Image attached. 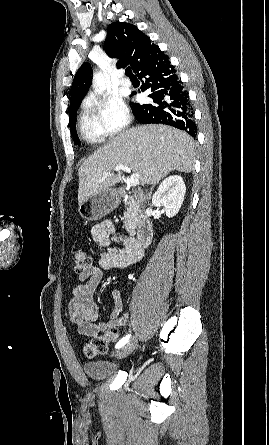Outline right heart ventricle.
Segmentation results:
<instances>
[{
  "label": "right heart ventricle",
  "mask_w": 269,
  "mask_h": 445,
  "mask_svg": "<svg viewBox=\"0 0 269 445\" xmlns=\"http://www.w3.org/2000/svg\"><path fill=\"white\" fill-rule=\"evenodd\" d=\"M79 131L83 140L89 144L101 143L108 136V133L86 108L81 112L79 117Z\"/></svg>",
  "instance_id": "right-heart-ventricle-1"
}]
</instances>
